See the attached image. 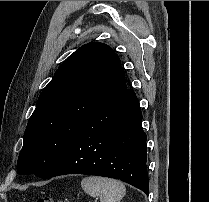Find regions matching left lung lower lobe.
<instances>
[{"instance_id":"1","label":"left lung lower lobe","mask_w":209,"mask_h":202,"mask_svg":"<svg viewBox=\"0 0 209 202\" xmlns=\"http://www.w3.org/2000/svg\"><path fill=\"white\" fill-rule=\"evenodd\" d=\"M146 139L139 101L127 89L83 124L52 177L65 174L120 179L148 195Z\"/></svg>"}]
</instances>
